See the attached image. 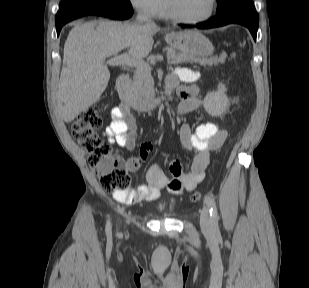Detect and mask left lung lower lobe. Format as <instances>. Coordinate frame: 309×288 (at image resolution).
Instances as JSON below:
<instances>
[{
    "label": "left lung lower lobe",
    "mask_w": 309,
    "mask_h": 288,
    "mask_svg": "<svg viewBox=\"0 0 309 288\" xmlns=\"http://www.w3.org/2000/svg\"><path fill=\"white\" fill-rule=\"evenodd\" d=\"M259 17L255 10L254 3L250 0L233 6L227 11L217 14L210 20L198 23L194 26L180 24L181 27H197L199 29H209L227 24H241L246 26L254 40L256 41Z\"/></svg>",
    "instance_id": "0a47b994"
}]
</instances>
